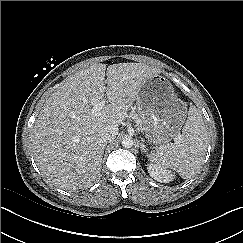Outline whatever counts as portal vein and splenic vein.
<instances>
[{
  "label": "portal vein and splenic vein",
  "mask_w": 243,
  "mask_h": 243,
  "mask_svg": "<svg viewBox=\"0 0 243 243\" xmlns=\"http://www.w3.org/2000/svg\"><path fill=\"white\" fill-rule=\"evenodd\" d=\"M105 104H106V101L102 100L101 102L94 105L92 108V114L97 115L103 109Z\"/></svg>",
  "instance_id": "obj_1"
}]
</instances>
